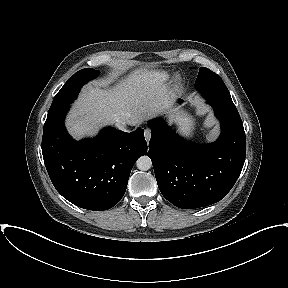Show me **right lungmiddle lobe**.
<instances>
[{"label": "right lung middle lobe", "instance_id": "1", "mask_svg": "<svg viewBox=\"0 0 288 288\" xmlns=\"http://www.w3.org/2000/svg\"><path fill=\"white\" fill-rule=\"evenodd\" d=\"M98 74L99 71L94 69H82L76 72L56 94L48 115L70 105L76 99L82 85L97 77Z\"/></svg>", "mask_w": 288, "mask_h": 288}]
</instances>
